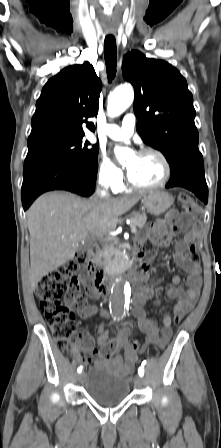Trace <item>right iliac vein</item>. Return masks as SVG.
Here are the masks:
<instances>
[{
    "label": "right iliac vein",
    "instance_id": "1",
    "mask_svg": "<svg viewBox=\"0 0 221 448\" xmlns=\"http://www.w3.org/2000/svg\"><path fill=\"white\" fill-rule=\"evenodd\" d=\"M84 379V373L78 375V381L81 383Z\"/></svg>",
    "mask_w": 221,
    "mask_h": 448
}]
</instances>
